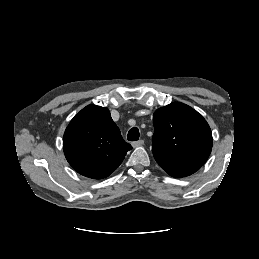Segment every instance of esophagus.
Masks as SVG:
<instances>
[{
  "label": "esophagus",
  "instance_id": "obj_1",
  "mask_svg": "<svg viewBox=\"0 0 259 259\" xmlns=\"http://www.w3.org/2000/svg\"><path fill=\"white\" fill-rule=\"evenodd\" d=\"M143 144H144V140H138V141L133 142L132 146L134 148H136V147L142 146Z\"/></svg>",
  "mask_w": 259,
  "mask_h": 259
}]
</instances>
